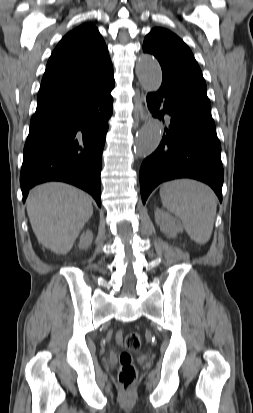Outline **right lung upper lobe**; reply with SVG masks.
<instances>
[{
  "label": "right lung upper lobe",
  "instance_id": "obj_1",
  "mask_svg": "<svg viewBox=\"0 0 253 413\" xmlns=\"http://www.w3.org/2000/svg\"><path fill=\"white\" fill-rule=\"evenodd\" d=\"M113 74L98 29L82 24L67 33L48 60L32 117H50L68 104L95 94Z\"/></svg>",
  "mask_w": 253,
  "mask_h": 413
}]
</instances>
